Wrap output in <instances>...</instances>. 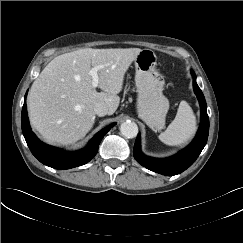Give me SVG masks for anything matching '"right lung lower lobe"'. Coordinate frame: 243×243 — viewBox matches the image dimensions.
Masks as SVG:
<instances>
[{"label":"right lung lower lobe","mask_w":243,"mask_h":243,"mask_svg":"<svg viewBox=\"0 0 243 243\" xmlns=\"http://www.w3.org/2000/svg\"><path fill=\"white\" fill-rule=\"evenodd\" d=\"M22 132L32 154L43 164L54 169H70L89 162L97 153L98 146L104 135L116 124L112 123L99 131L88 143L87 147L75 152L63 151L41 142L32 132L26 103H24L21 114Z\"/></svg>","instance_id":"1"}]
</instances>
